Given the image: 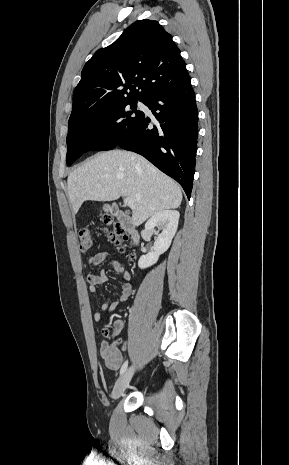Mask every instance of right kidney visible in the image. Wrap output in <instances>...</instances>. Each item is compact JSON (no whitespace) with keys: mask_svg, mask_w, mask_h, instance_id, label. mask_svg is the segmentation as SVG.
I'll use <instances>...</instances> for the list:
<instances>
[{"mask_svg":"<svg viewBox=\"0 0 289 465\" xmlns=\"http://www.w3.org/2000/svg\"><path fill=\"white\" fill-rule=\"evenodd\" d=\"M180 214L176 210H162L152 215L146 222L145 229L154 233L155 227L162 230L154 242L153 251L140 257L138 266L141 269L155 264L159 256L171 245L172 239L177 231Z\"/></svg>","mask_w":289,"mask_h":465,"instance_id":"1","label":"right kidney"}]
</instances>
